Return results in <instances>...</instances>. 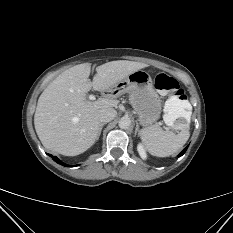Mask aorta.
<instances>
[{
    "mask_svg": "<svg viewBox=\"0 0 233 233\" xmlns=\"http://www.w3.org/2000/svg\"><path fill=\"white\" fill-rule=\"evenodd\" d=\"M118 125L121 129H127L131 125V119L128 116H124L119 120Z\"/></svg>",
    "mask_w": 233,
    "mask_h": 233,
    "instance_id": "aorta-1",
    "label": "aorta"
}]
</instances>
